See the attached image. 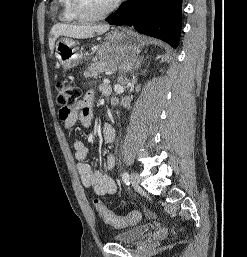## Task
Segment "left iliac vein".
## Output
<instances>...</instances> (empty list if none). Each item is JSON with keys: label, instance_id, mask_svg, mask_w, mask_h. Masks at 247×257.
Masks as SVG:
<instances>
[{"label": "left iliac vein", "instance_id": "obj_1", "mask_svg": "<svg viewBox=\"0 0 247 257\" xmlns=\"http://www.w3.org/2000/svg\"><path fill=\"white\" fill-rule=\"evenodd\" d=\"M140 183V177L136 172H132L131 174V184L133 187L138 188Z\"/></svg>", "mask_w": 247, "mask_h": 257}]
</instances>
